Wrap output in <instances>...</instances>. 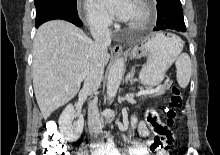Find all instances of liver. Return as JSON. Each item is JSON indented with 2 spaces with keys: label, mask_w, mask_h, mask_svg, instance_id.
<instances>
[{
  "label": "liver",
  "mask_w": 220,
  "mask_h": 155,
  "mask_svg": "<svg viewBox=\"0 0 220 155\" xmlns=\"http://www.w3.org/2000/svg\"><path fill=\"white\" fill-rule=\"evenodd\" d=\"M91 44L92 40L81 29L62 20L46 22L36 31L33 87L45 120L78 93L85 78Z\"/></svg>",
  "instance_id": "obj_1"
}]
</instances>
